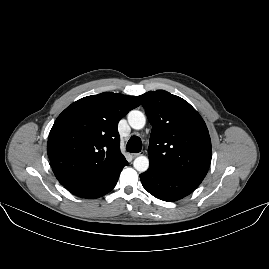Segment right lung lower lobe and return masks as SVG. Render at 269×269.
I'll return each mask as SVG.
<instances>
[{
	"label": "right lung lower lobe",
	"instance_id": "1",
	"mask_svg": "<svg viewBox=\"0 0 269 269\" xmlns=\"http://www.w3.org/2000/svg\"><path fill=\"white\" fill-rule=\"evenodd\" d=\"M128 162L122 161L107 174L88 180L74 181L63 185L71 193L82 198H98L110 192L116 185L120 172Z\"/></svg>",
	"mask_w": 269,
	"mask_h": 269
}]
</instances>
